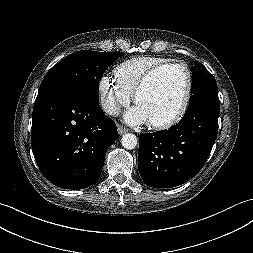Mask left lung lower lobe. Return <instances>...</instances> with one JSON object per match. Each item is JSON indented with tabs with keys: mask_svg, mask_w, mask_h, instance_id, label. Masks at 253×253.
Here are the masks:
<instances>
[{
	"mask_svg": "<svg viewBox=\"0 0 253 253\" xmlns=\"http://www.w3.org/2000/svg\"><path fill=\"white\" fill-rule=\"evenodd\" d=\"M219 102H201L168 130L140 134L138 169L154 188L181 185L206 162L218 132Z\"/></svg>",
	"mask_w": 253,
	"mask_h": 253,
	"instance_id": "left-lung-lower-lobe-1",
	"label": "left lung lower lobe"
}]
</instances>
